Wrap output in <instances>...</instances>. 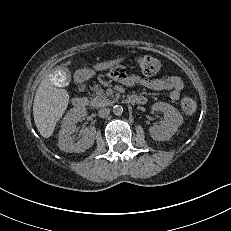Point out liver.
Listing matches in <instances>:
<instances>
[{"mask_svg":"<svg viewBox=\"0 0 231 231\" xmlns=\"http://www.w3.org/2000/svg\"><path fill=\"white\" fill-rule=\"evenodd\" d=\"M71 61L65 63L69 65ZM69 103L67 90L56 88L48 77L42 79L35 93L33 115L35 125L44 138H49Z\"/></svg>","mask_w":231,"mask_h":231,"instance_id":"1","label":"liver"}]
</instances>
